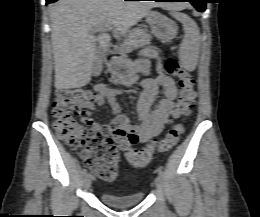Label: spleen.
<instances>
[{
    "label": "spleen",
    "instance_id": "obj_1",
    "mask_svg": "<svg viewBox=\"0 0 260 217\" xmlns=\"http://www.w3.org/2000/svg\"><path fill=\"white\" fill-rule=\"evenodd\" d=\"M171 15L182 23L185 32L179 48L180 58L188 61L194 60L199 51L200 41V31L196 22L184 13L173 12Z\"/></svg>",
    "mask_w": 260,
    "mask_h": 217
}]
</instances>
